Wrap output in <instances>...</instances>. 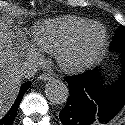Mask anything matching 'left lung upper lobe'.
Segmentation results:
<instances>
[{
    "mask_svg": "<svg viewBox=\"0 0 125 125\" xmlns=\"http://www.w3.org/2000/svg\"><path fill=\"white\" fill-rule=\"evenodd\" d=\"M112 41L116 45L114 47V50L125 52V27L124 26H120Z\"/></svg>",
    "mask_w": 125,
    "mask_h": 125,
    "instance_id": "obj_1",
    "label": "left lung upper lobe"
}]
</instances>
